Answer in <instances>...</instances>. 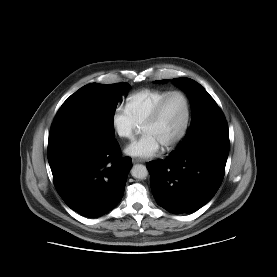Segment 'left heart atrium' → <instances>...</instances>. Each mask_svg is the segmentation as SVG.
<instances>
[{"instance_id": "1", "label": "left heart atrium", "mask_w": 277, "mask_h": 277, "mask_svg": "<svg viewBox=\"0 0 277 277\" xmlns=\"http://www.w3.org/2000/svg\"><path fill=\"white\" fill-rule=\"evenodd\" d=\"M162 148L159 141L150 133H144L139 139L133 141L125 148V153L136 158H150L155 156Z\"/></svg>"}]
</instances>
